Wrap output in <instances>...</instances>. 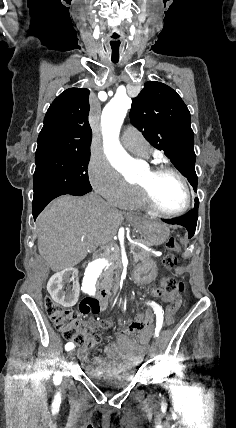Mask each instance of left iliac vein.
<instances>
[{
  "mask_svg": "<svg viewBox=\"0 0 236 428\" xmlns=\"http://www.w3.org/2000/svg\"><path fill=\"white\" fill-rule=\"evenodd\" d=\"M150 348H151V350H149V355H151L152 357H155L158 354V351L156 350V347H154L152 345Z\"/></svg>",
  "mask_w": 236,
  "mask_h": 428,
  "instance_id": "left-iliac-vein-1",
  "label": "left iliac vein"
}]
</instances>
